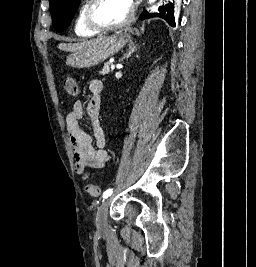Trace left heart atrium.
I'll return each instance as SVG.
<instances>
[{
  "instance_id": "1",
  "label": "left heart atrium",
  "mask_w": 256,
  "mask_h": 267,
  "mask_svg": "<svg viewBox=\"0 0 256 267\" xmlns=\"http://www.w3.org/2000/svg\"><path fill=\"white\" fill-rule=\"evenodd\" d=\"M125 6H127L129 9L133 10V0H121Z\"/></svg>"
}]
</instances>
